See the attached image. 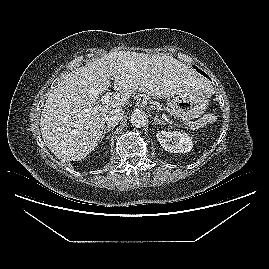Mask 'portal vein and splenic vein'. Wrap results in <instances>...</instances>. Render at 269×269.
<instances>
[{
    "mask_svg": "<svg viewBox=\"0 0 269 269\" xmlns=\"http://www.w3.org/2000/svg\"><path fill=\"white\" fill-rule=\"evenodd\" d=\"M109 99H110V95L109 94H104L102 97H101V103L102 104H108L109 103ZM92 109L89 108L87 109L86 111H91Z\"/></svg>",
    "mask_w": 269,
    "mask_h": 269,
    "instance_id": "18ae733b",
    "label": "portal vein and splenic vein"
}]
</instances>
